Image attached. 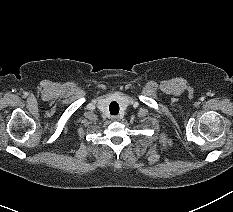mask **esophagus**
<instances>
[{"label":"esophagus","instance_id":"esophagus-1","mask_svg":"<svg viewBox=\"0 0 233 212\" xmlns=\"http://www.w3.org/2000/svg\"><path fill=\"white\" fill-rule=\"evenodd\" d=\"M111 119H112L113 121H118V120L120 119V117H119L118 115H113V116L111 117Z\"/></svg>","mask_w":233,"mask_h":212}]
</instances>
